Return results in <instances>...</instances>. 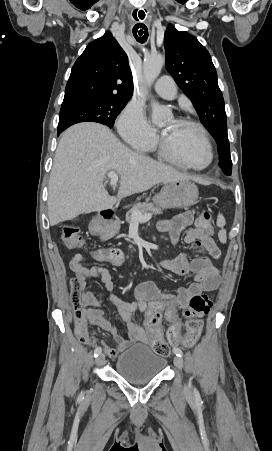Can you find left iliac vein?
Returning a JSON list of instances; mask_svg holds the SVG:
<instances>
[{"label": "left iliac vein", "instance_id": "left-iliac-vein-1", "mask_svg": "<svg viewBox=\"0 0 272 451\" xmlns=\"http://www.w3.org/2000/svg\"><path fill=\"white\" fill-rule=\"evenodd\" d=\"M174 364L179 371H182L183 364H182V360L180 357L177 356L174 358ZM185 387L187 388V385H185Z\"/></svg>", "mask_w": 272, "mask_h": 451}]
</instances>
